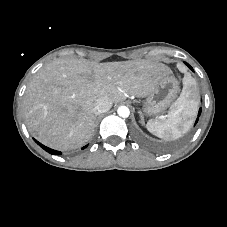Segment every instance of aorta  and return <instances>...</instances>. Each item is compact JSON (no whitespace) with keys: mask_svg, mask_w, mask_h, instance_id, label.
<instances>
[{"mask_svg":"<svg viewBox=\"0 0 227 227\" xmlns=\"http://www.w3.org/2000/svg\"><path fill=\"white\" fill-rule=\"evenodd\" d=\"M117 113L122 118H127L130 115L129 108L126 106H120L117 110Z\"/></svg>","mask_w":227,"mask_h":227,"instance_id":"aorta-1","label":"aorta"}]
</instances>
